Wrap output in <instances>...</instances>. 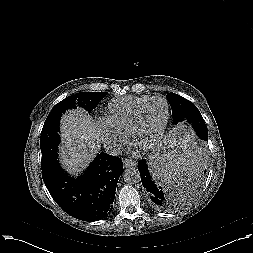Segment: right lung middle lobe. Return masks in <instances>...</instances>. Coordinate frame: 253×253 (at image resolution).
Masks as SVG:
<instances>
[{
	"label": "right lung middle lobe",
	"mask_w": 253,
	"mask_h": 253,
	"mask_svg": "<svg viewBox=\"0 0 253 253\" xmlns=\"http://www.w3.org/2000/svg\"><path fill=\"white\" fill-rule=\"evenodd\" d=\"M107 92H81L68 96L54 106L48 115L40 137L42 162L50 163L57 158L60 142L59 122L62 113L68 109L83 107L89 113L98 105ZM41 162V163H42Z\"/></svg>",
	"instance_id": "obj_1"
}]
</instances>
